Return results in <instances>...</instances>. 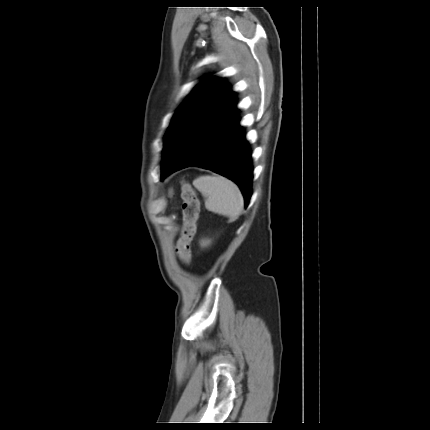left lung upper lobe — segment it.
Returning <instances> with one entry per match:
<instances>
[{
    "mask_svg": "<svg viewBox=\"0 0 430 430\" xmlns=\"http://www.w3.org/2000/svg\"><path fill=\"white\" fill-rule=\"evenodd\" d=\"M237 98L223 78H207L178 107L164 137L162 163L181 147L198 123L209 115L236 119Z\"/></svg>",
    "mask_w": 430,
    "mask_h": 430,
    "instance_id": "5c2ea615",
    "label": "left lung upper lobe"
}]
</instances>
